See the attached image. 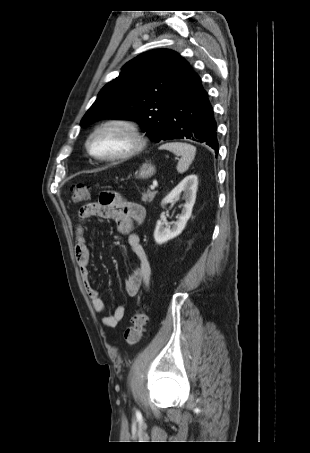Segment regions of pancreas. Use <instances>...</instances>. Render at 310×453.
I'll return each instance as SVG.
<instances>
[{"label": "pancreas", "instance_id": "obj_1", "mask_svg": "<svg viewBox=\"0 0 310 453\" xmlns=\"http://www.w3.org/2000/svg\"><path fill=\"white\" fill-rule=\"evenodd\" d=\"M156 191H149L147 190V192H144L142 193V201L146 204V203H151L153 201V199L155 198V195H156Z\"/></svg>", "mask_w": 310, "mask_h": 453}]
</instances>
